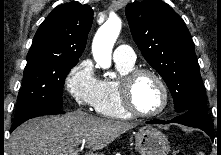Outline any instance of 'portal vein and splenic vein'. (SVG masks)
<instances>
[{"label":"portal vein and splenic vein","instance_id":"18ae733b","mask_svg":"<svg viewBox=\"0 0 221 155\" xmlns=\"http://www.w3.org/2000/svg\"><path fill=\"white\" fill-rule=\"evenodd\" d=\"M77 153H78V151L76 150V151L72 152L70 155H77Z\"/></svg>","mask_w":221,"mask_h":155}]
</instances>
